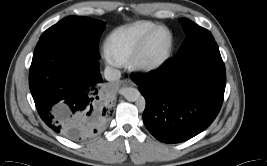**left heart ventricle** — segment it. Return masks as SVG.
<instances>
[{"mask_svg":"<svg viewBox=\"0 0 267 166\" xmlns=\"http://www.w3.org/2000/svg\"><path fill=\"white\" fill-rule=\"evenodd\" d=\"M169 42V35L166 31L162 30L159 31L154 35L151 39L146 52L145 56L149 59H157L163 55L165 52Z\"/></svg>","mask_w":267,"mask_h":166,"instance_id":"b2bd125f","label":"left heart ventricle"}]
</instances>
